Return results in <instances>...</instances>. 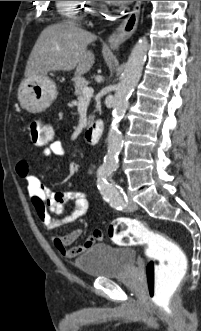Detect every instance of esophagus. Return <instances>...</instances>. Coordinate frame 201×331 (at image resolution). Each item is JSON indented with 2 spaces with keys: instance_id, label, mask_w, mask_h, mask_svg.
<instances>
[{
  "instance_id": "1",
  "label": "esophagus",
  "mask_w": 201,
  "mask_h": 331,
  "mask_svg": "<svg viewBox=\"0 0 201 331\" xmlns=\"http://www.w3.org/2000/svg\"><path fill=\"white\" fill-rule=\"evenodd\" d=\"M141 3L142 1H136L130 14L110 35L108 42L112 49H118L119 46L135 32L140 16Z\"/></svg>"
}]
</instances>
